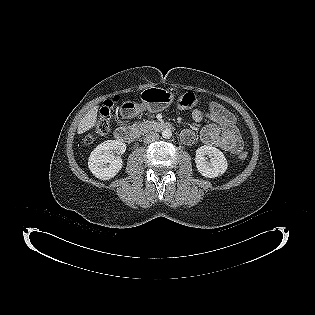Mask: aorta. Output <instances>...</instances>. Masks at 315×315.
<instances>
[{"mask_svg": "<svg viewBox=\"0 0 315 315\" xmlns=\"http://www.w3.org/2000/svg\"><path fill=\"white\" fill-rule=\"evenodd\" d=\"M162 137L165 139H170L172 137V131L170 129H164L162 131Z\"/></svg>", "mask_w": 315, "mask_h": 315, "instance_id": "aorta-1", "label": "aorta"}]
</instances>
